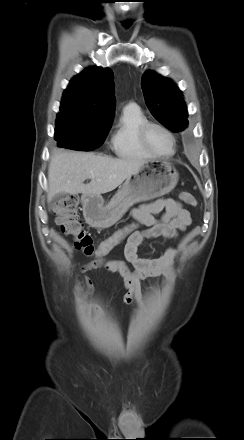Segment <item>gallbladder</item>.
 <instances>
[{"label": "gallbladder", "instance_id": "1", "mask_svg": "<svg viewBox=\"0 0 244 440\" xmlns=\"http://www.w3.org/2000/svg\"><path fill=\"white\" fill-rule=\"evenodd\" d=\"M65 198V194H57L51 200L48 201V209L51 210L53 207L57 205L58 202H61Z\"/></svg>", "mask_w": 244, "mask_h": 440}]
</instances>
